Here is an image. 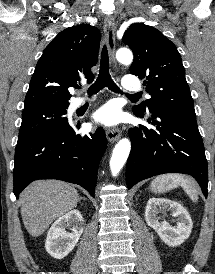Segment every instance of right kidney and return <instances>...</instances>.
<instances>
[{
  "label": "right kidney",
  "mask_w": 215,
  "mask_h": 274,
  "mask_svg": "<svg viewBox=\"0 0 215 274\" xmlns=\"http://www.w3.org/2000/svg\"><path fill=\"white\" fill-rule=\"evenodd\" d=\"M71 226L72 232L65 230ZM84 230L83 217L79 210H71L57 219L48 231L45 249L56 259L66 257L76 246Z\"/></svg>",
  "instance_id": "1"
}]
</instances>
